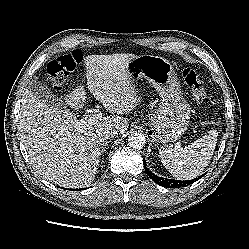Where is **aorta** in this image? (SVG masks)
Here are the masks:
<instances>
[{
    "instance_id": "aorta-1",
    "label": "aorta",
    "mask_w": 249,
    "mask_h": 249,
    "mask_svg": "<svg viewBox=\"0 0 249 249\" xmlns=\"http://www.w3.org/2000/svg\"><path fill=\"white\" fill-rule=\"evenodd\" d=\"M129 146L133 149H142L146 144L145 136L139 132L132 133L128 137Z\"/></svg>"
}]
</instances>
